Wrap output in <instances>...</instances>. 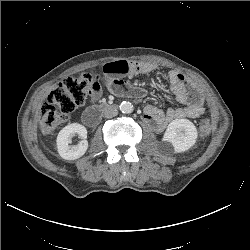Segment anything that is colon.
Segmentation results:
<instances>
[{
	"mask_svg": "<svg viewBox=\"0 0 250 250\" xmlns=\"http://www.w3.org/2000/svg\"><path fill=\"white\" fill-rule=\"evenodd\" d=\"M94 86V76L83 73L68 77L55 86L40 109V126L44 134H53L68 121L70 114L83 105ZM199 137L207 138L212 129L211 121L203 118L198 122Z\"/></svg>",
	"mask_w": 250,
	"mask_h": 250,
	"instance_id": "5ec220e1",
	"label": "colon"
}]
</instances>
